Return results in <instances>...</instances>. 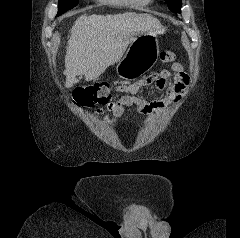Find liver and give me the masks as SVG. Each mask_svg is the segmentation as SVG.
I'll return each instance as SVG.
<instances>
[{
    "label": "liver",
    "mask_w": 240,
    "mask_h": 238,
    "mask_svg": "<svg viewBox=\"0 0 240 238\" xmlns=\"http://www.w3.org/2000/svg\"><path fill=\"white\" fill-rule=\"evenodd\" d=\"M164 31L160 21L146 13L78 17L66 49V88L77 83L78 75H84L86 81L98 80L109 66L121 59L136 36Z\"/></svg>",
    "instance_id": "liver-1"
}]
</instances>
